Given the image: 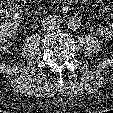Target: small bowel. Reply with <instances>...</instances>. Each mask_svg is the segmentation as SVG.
<instances>
[{"label": "small bowel", "instance_id": "1", "mask_svg": "<svg viewBox=\"0 0 113 113\" xmlns=\"http://www.w3.org/2000/svg\"><path fill=\"white\" fill-rule=\"evenodd\" d=\"M98 1H108V0H98ZM113 2V1H112ZM10 14L12 19L17 22L20 18L19 11L17 9H10ZM97 31L100 35L105 37H112L113 36V22L103 25L99 24L97 27Z\"/></svg>", "mask_w": 113, "mask_h": 113}]
</instances>
